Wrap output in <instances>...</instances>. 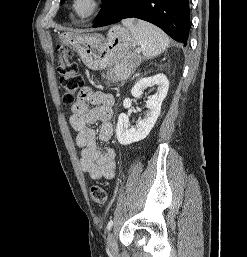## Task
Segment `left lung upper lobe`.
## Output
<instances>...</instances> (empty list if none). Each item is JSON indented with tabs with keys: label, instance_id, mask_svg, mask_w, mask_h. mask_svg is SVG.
Wrapping results in <instances>:
<instances>
[{
	"label": "left lung upper lobe",
	"instance_id": "obj_1",
	"mask_svg": "<svg viewBox=\"0 0 247 257\" xmlns=\"http://www.w3.org/2000/svg\"><path fill=\"white\" fill-rule=\"evenodd\" d=\"M65 0H61V4L64 3ZM106 0H102V2L104 3Z\"/></svg>",
	"mask_w": 247,
	"mask_h": 257
}]
</instances>
